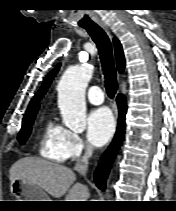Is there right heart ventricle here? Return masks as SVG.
I'll return each instance as SVG.
<instances>
[{"mask_svg": "<svg viewBox=\"0 0 176 211\" xmlns=\"http://www.w3.org/2000/svg\"><path fill=\"white\" fill-rule=\"evenodd\" d=\"M67 130L49 118L41 126L38 137L39 154L55 162H63L65 156V138Z\"/></svg>", "mask_w": 176, "mask_h": 211, "instance_id": "e07e8e85", "label": "right heart ventricle"}]
</instances>
